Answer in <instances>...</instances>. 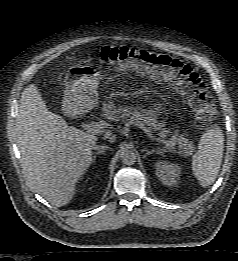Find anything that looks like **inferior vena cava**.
<instances>
[{
  "mask_svg": "<svg viewBox=\"0 0 238 261\" xmlns=\"http://www.w3.org/2000/svg\"><path fill=\"white\" fill-rule=\"evenodd\" d=\"M106 147H107V146H106ZM93 149H95V150H99V149H102V146L95 145V146L93 147Z\"/></svg>",
  "mask_w": 238,
  "mask_h": 261,
  "instance_id": "inferior-vena-cava-1",
  "label": "inferior vena cava"
}]
</instances>
